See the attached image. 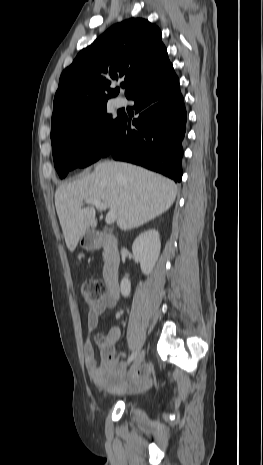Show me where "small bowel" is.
Returning <instances> with one entry per match:
<instances>
[{"label": "small bowel", "mask_w": 263, "mask_h": 465, "mask_svg": "<svg viewBox=\"0 0 263 465\" xmlns=\"http://www.w3.org/2000/svg\"><path fill=\"white\" fill-rule=\"evenodd\" d=\"M118 299V295H113L109 292L102 300L90 306L87 314V328L89 334H91L97 327L99 316L106 310L113 309L116 306ZM109 336L112 338L113 342L117 341L119 338V330H112ZM84 359L86 369L93 384L102 390L112 392H130L148 384V376L150 373L148 365L141 367L131 379L124 383L122 382L125 369L124 363H117L109 369H102L99 367L95 359V351L90 339H88L84 345Z\"/></svg>", "instance_id": "small-bowel-1"}]
</instances>
